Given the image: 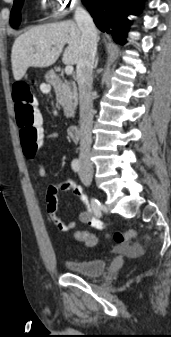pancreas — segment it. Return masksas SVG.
<instances>
[{
    "mask_svg": "<svg viewBox=\"0 0 171 337\" xmlns=\"http://www.w3.org/2000/svg\"><path fill=\"white\" fill-rule=\"evenodd\" d=\"M56 101L64 108L67 118L73 117L78 101L76 86L64 80L60 88L56 89Z\"/></svg>",
    "mask_w": 171,
    "mask_h": 337,
    "instance_id": "obj_1",
    "label": "pancreas"
}]
</instances>
